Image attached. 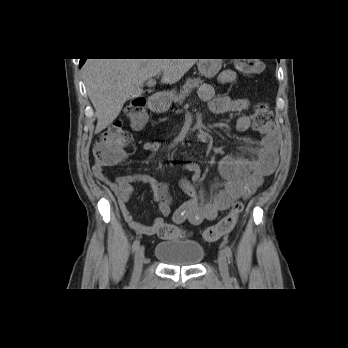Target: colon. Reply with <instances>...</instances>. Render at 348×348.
<instances>
[{
  "label": "colon",
  "instance_id": "colon-1",
  "mask_svg": "<svg viewBox=\"0 0 348 348\" xmlns=\"http://www.w3.org/2000/svg\"><path fill=\"white\" fill-rule=\"evenodd\" d=\"M236 69L240 73L254 75L263 69V63L258 58L236 60ZM126 117L134 128H142L147 123L145 100L141 97L134 99L127 109ZM252 127L261 134H269L274 130L272 111L265 105L256 106L251 115ZM131 146V136L123 128L121 122H115L102 133L96 143L93 153L97 164L114 165L119 163ZM243 209L241 202H236L229 213L216 225L204 231V239L214 242L228 235L235 227L239 214ZM158 236L163 239L183 238L186 232L173 224H164L158 230Z\"/></svg>",
  "mask_w": 348,
  "mask_h": 348
}]
</instances>
